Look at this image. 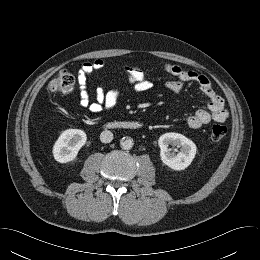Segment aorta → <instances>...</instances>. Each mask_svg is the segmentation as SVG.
Listing matches in <instances>:
<instances>
[{"label": "aorta", "mask_w": 260, "mask_h": 260, "mask_svg": "<svg viewBox=\"0 0 260 260\" xmlns=\"http://www.w3.org/2000/svg\"><path fill=\"white\" fill-rule=\"evenodd\" d=\"M133 140L131 138H123L120 142V146L124 150H129L133 147Z\"/></svg>", "instance_id": "obj_1"}]
</instances>
